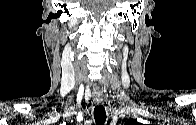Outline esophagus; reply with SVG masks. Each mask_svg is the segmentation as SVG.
Masks as SVG:
<instances>
[{"label":"esophagus","mask_w":196,"mask_h":125,"mask_svg":"<svg viewBox=\"0 0 196 125\" xmlns=\"http://www.w3.org/2000/svg\"><path fill=\"white\" fill-rule=\"evenodd\" d=\"M93 101H94V103L97 104V105L103 104V102H104L103 99H101V98H94Z\"/></svg>","instance_id":"34e87169"}]
</instances>
